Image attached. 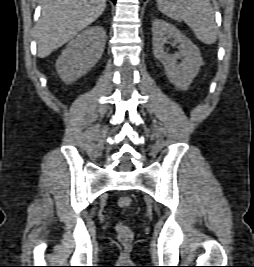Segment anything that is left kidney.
<instances>
[{"label": "left kidney", "mask_w": 254, "mask_h": 267, "mask_svg": "<svg viewBox=\"0 0 254 267\" xmlns=\"http://www.w3.org/2000/svg\"><path fill=\"white\" fill-rule=\"evenodd\" d=\"M152 35L153 54L164 65L167 78L177 88L187 90L203 63L200 50L174 25L161 19H154ZM168 38L179 43L178 52L167 54L164 51ZM178 59L181 64L177 63Z\"/></svg>", "instance_id": "1"}]
</instances>
